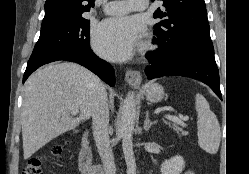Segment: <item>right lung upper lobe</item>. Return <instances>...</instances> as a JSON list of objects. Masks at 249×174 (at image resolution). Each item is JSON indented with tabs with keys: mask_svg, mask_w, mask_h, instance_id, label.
<instances>
[{
	"mask_svg": "<svg viewBox=\"0 0 249 174\" xmlns=\"http://www.w3.org/2000/svg\"><path fill=\"white\" fill-rule=\"evenodd\" d=\"M94 0H47L42 26L84 17Z\"/></svg>",
	"mask_w": 249,
	"mask_h": 174,
	"instance_id": "cb5924a9",
	"label": "right lung upper lobe"
}]
</instances>
